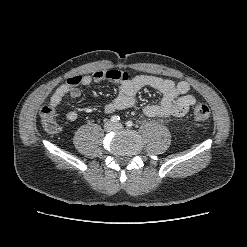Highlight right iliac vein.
<instances>
[{"label":"right iliac vein","mask_w":247,"mask_h":247,"mask_svg":"<svg viewBox=\"0 0 247 247\" xmlns=\"http://www.w3.org/2000/svg\"><path fill=\"white\" fill-rule=\"evenodd\" d=\"M113 128H114V125H113V123H111V122H106V123L104 124V129H105V131H107V132L111 131Z\"/></svg>","instance_id":"1"}]
</instances>
